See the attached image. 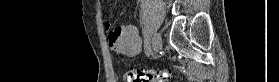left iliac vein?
I'll use <instances>...</instances> for the list:
<instances>
[{
  "label": "left iliac vein",
  "mask_w": 279,
  "mask_h": 82,
  "mask_svg": "<svg viewBox=\"0 0 279 82\" xmlns=\"http://www.w3.org/2000/svg\"><path fill=\"white\" fill-rule=\"evenodd\" d=\"M152 47L155 54H158V52L162 48V38L159 33H155L152 39Z\"/></svg>",
  "instance_id": "1"
}]
</instances>
